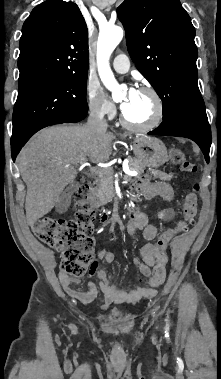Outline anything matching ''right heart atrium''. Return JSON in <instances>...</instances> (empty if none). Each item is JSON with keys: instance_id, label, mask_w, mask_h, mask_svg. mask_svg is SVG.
Returning a JSON list of instances; mask_svg holds the SVG:
<instances>
[{"instance_id": "obj_1", "label": "right heart atrium", "mask_w": 221, "mask_h": 379, "mask_svg": "<svg viewBox=\"0 0 221 379\" xmlns=\"http://www.w3.org/2000/svg\"><path fill=\"white\" fill-rule=\"evenodd\" d=\"M86 100L88 109L93 115L103 119L114 117L116 108L98 85L91 82L87 84Z\"/></svg>"}]
</instances>
